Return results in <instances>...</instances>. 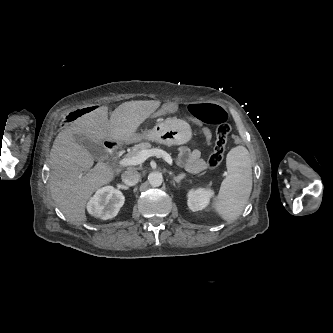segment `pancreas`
I'll return each mask as SVG.
<instances>
[{
    "label": "pancreas",
    "mask_w": 333,
    "mask_h": 333,
    "mask_svg": "<svg viewBox=\"0 0 333 333\" xmlns=\"http://www.w3.org/2000/svg\"><path fill=\"white\" fill-rule=\"evenodd\" d=\"M151 147L152 146L149 142H142L140 144H136V145H134V147H132L131 151L128 152L126 157L136 156L140 151L151 149Z\"/></svg>",
    "instance_id": "pancreas-1"
}]
</instances>
